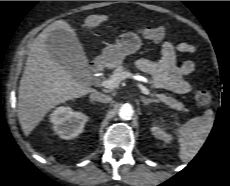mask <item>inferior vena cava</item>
<instances>
[{"mask_svg": "<svg viewBox=\"0 0 230 186\" xmlns=\"http://www.w3.org/2000/svg\"><path fill=\"white\" fill-rule=\"evenodd\" d=\"M90 99L94 100V101L101 102V103H108V102L111 101V97L110 96H108L106 94H103V93H100V92H93L90 95Z\"/></svg>", "mask_w": 230, "mask_h": 186, "instance_id": "602c4592", "label": "inferior vena cava"}]
</instances>
